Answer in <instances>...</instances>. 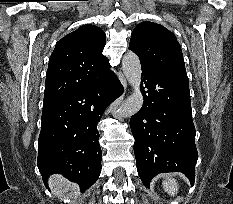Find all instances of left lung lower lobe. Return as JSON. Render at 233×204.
I'll use <instances>...</instances> for the list:
<instances>
[{"instance_id": "obj_1", "label": "left lung lower lobe", "mask_w": 233, "mask_h": 204, "mask_svg": "<svg viewBox=\"0 0 233 204\" xmlns=\"http://www.w3.org/2000/svg\"><path fill=\"white\" fill-rule=\"evenodd\" d=\"M141 89L145 101L130 126L143 184L158 173L182 172L193 185L198 153L188 80L142 66Z\"/></svg>"}]
</instances>
